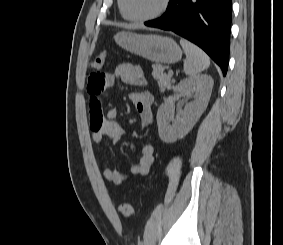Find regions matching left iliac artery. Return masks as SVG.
I'll use <instances>...</instances> for the list:
<instances>
[{
  "mask_svg": "<svg viewBox=\"0 0 283 245\" xmlns=\"http://www.w3.org/2000/svg\"><path fill=\"white\" fill-rule=\"evenodd\" d=\"M138 245H143V242H142V241H139V242H138Z\"/></svg>",
  "mask_w": 283,
  "mask_h": 245,
  "instance_id": "obj_1",
  "label": "left iliac artery"
}]
</instances>
